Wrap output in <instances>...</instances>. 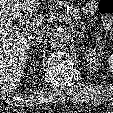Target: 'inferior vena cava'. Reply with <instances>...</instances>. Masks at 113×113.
<instances>
[{
    "label": "inferior vena cava",
    "mask_w": 113,
    "mask_h": 113,
    "mask_svg": "<svg viewBox=\"0 0 113 113\" xmlns=\"http://www.w3.org/2000/svg\"><path fill=\"white\" fill-rule=\"evenodd\" d=\"M48 28L49 26L44 24L34 27L32 30V32L34 33L33 37H43Z\"/></svg>",
    "instance_id": "602c4592"
}]
</instances>
